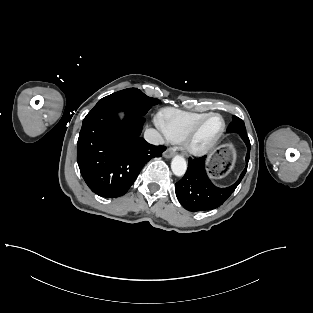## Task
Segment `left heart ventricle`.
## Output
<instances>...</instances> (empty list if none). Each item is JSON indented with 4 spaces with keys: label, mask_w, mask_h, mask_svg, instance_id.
I'll return each instance as SVG.
<instances>
[{
    "label": "left heart ventricle",
    "mask_w": 313,
    "mask_h": 313,
    "mask_svg": "<svg viewBox=\"0 0 313 313\" xmlns=\"http://www.w3.org/2000/svg\"><path fill=\"white\" fill-rule=\"evenodd\" d=\"M222 121L219 117L210 118L199 130L195 137V143L204 146L210 143L220 132Z\"/></svg>",
    "instance_id": "left-heart-ventricle-1"
}]
</instances>
